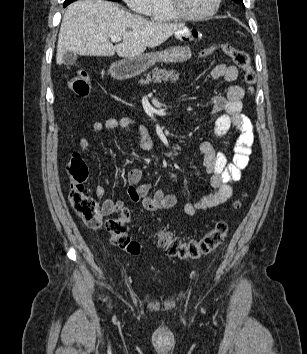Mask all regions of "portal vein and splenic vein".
I'll list each match as a JSON object with an SVG mask.
<instances>
[{
    "instance_id": "1",
    "label": "portal vein and splenic vein",
    "mask_w": 307,
    "mask_h": 354,
    "mask_svg": "<svg viewBox=\"0 0 307 354\" xmlns=\"http://www.w3.org/2000/svg\"><path fill=\"white\" fill-rule=\"evenodd\" d=\"M121 39H122V38H121L120 36H112V37H111V41L114 42V43H115V42H120Z\"/></svg>"
}]
</instances>
